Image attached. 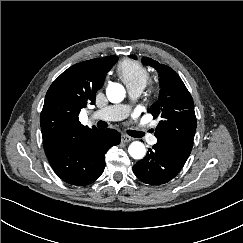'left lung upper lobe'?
<instances>
[{"label": "left lung upper lobe", "instance_id": "obj_1", "mask_svg": "<svg viewBox=\"0 0 243 243\" xmlns=\"http://www.w3.org/2000/svg\"><path fill=\"white\" fill-rule=\"evenodd\" d=\"M131 57L136 59L135 55ZM145 62L159 72L162 83L160 100L151 109L153 117L160 119L155 129L157 144L169 147L188 158L196 131L193 99L172 68L151 58H146Z\"/></svg>", "mask_w": 243, "mask_h": 243}]
</instances>
